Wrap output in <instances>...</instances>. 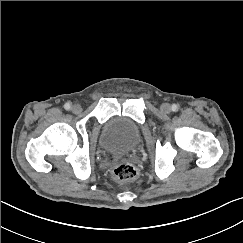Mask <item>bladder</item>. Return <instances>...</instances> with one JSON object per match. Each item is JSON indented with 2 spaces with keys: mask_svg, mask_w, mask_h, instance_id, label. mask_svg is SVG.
I'll use <instances>...</instances> for the list:
<instances>
[{
  "mask_svg": "<svg viewBox=\"0 0 243 243\" xmlns=\"http://www.w3.org/2000/svg\"><path fill=\"white\" fill-rule=\"evenodd\" d=\"M141 141V129L137 123L128 117L117 115L111 117L103 125L99 145L107 153L122 156Z\"/></svg>",
  "mask_w": 243,
  "mask_h": 243,
  "instance_id": "31cf9c89",
  "label": "bladder"
}]
</instances>
